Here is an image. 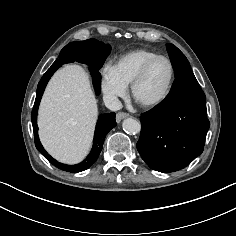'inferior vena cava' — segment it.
<instances>
[{
  "instance_id": "1",
  "label": "inferior vena cava",
  "mask_w": 236,
  "mask_h": 236,
  "mask_svg": "<svg viewBox=\"0 0 236 236\" xmlns=\"http://www.w3.org/2000/svg\"><path fill=\"white\" fill-rule=\"evenodd\" d=\"M103 101H104L105 106L112 111H117L122 108V104L116 96L105 95L103 97Z\"/></svg>"
}]
</instances>
